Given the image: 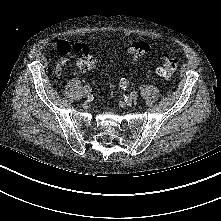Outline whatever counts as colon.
Masks as SVG:
<instances>
[{"instance_id":"5ec220e1","label":"colon","mask_w":221,"mask_h":221,"mask_svg":"<svg viewBox=\"0 0 221 221\" xmlns=\"http://www.w3.org/2000/svg\"><path fill=\"white\" fill-rule=\"evenodd\" d=\"M150 45L145 41H136L129 47V53L134 58L146 56L150 52ZM97 65V58L86 53L81 56V68L85 71L93 70ZM178 68V61L172 56L164 55L161 58L157 73L164 78H171Z\"/></svg>"}]
</instances>
